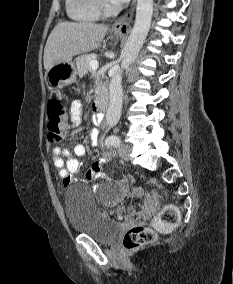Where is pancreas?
I'll list each match as a JSON object with an SVG mask.
<instances>
[{"label": "pancreas", "mask_w": 233, "mask_h": 284, "mask_svg": "<svg viewBox=\"0 0 233 284\" xmlns=\"http://www.w3.org/2000/svg\"><path fill=\"white\" fill-rule=\"evenodd\" d=\"M96 59L93 54H87L79 57L76 61V66L78 70V75L80 77L86 75L88 71H91V67L89 65L90 60Z\"/></svg>", "instance_id": "1"}]
</instances>
